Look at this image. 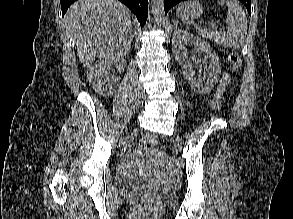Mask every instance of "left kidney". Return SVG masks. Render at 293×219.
Segmentation results:
<instances>
[{
	"instance_id": "left-kidney-1",
	"label": "left kidney",
	"mask_w": 293,
	"mask_h": 219,
	"mask_svg": "<svg viewBox=\"0 0 293 219\" xmlns=\"http://www.w3.org/2000/svg\"><path fill=\"white\" fill-rule=\"evenodd\" d=\"M192 44L197 47L200 54L204 55L209 60L207 77L202 80L197 79L190 60L187 56L186 44ZM173 53L175 58L180 63L183 73L188 79L191 87L199 94H206L211 91L214 85L218 82L221 68L217 54L212 50L209 44L199 38H195L184 30H177L172 38Z\"/></svg>"
}]
</instances>
